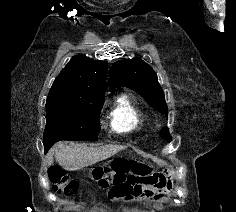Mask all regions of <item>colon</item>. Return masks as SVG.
Returning <instances> with one entry per match:
<instances>
[{
    "mask_svg": "<svg viewBox=\"0 0 236 212\" xmlns=\"http://www.w3.org/2000/svg\"><path fill=\"white\" fill-rule=\"evenodd\" d=\"M146 170L135 162L124 159L115 160L110 165L96 169L92 178L100 188L113 185L118 175H144ZM49 180L53 189L63 195H73L77 192V182L65 174L59 167H53L49 171ZM124 199V198H120Z\"/></svg>",
    "mask_w": 236,
    "mask_h": 212,
    "instance_id": "obj_1",
    "label": "colon"
}]
</instances>
